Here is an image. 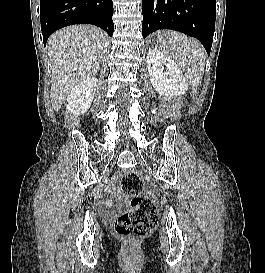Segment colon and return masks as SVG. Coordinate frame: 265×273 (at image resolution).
Segmentation results:
<instances>
[{
  "label": "colon",
  "mask_w": 265,
  "mask_h": 273,
  "mask_svg": "<svg viewBox=\"0 0 265 273\" xmlns=\"http://www.w3.org/2000/svg\"><path fill=\"white\" fill-rule=\"evenodd\" d=\"M121 188L131 199V209L116 220L114 232L125 239H140L150 235L158 225L159 211L151 199L141 196L143 181L140 173L126 172L121 179Z\"/></svg>",
  "instance_id": "1"
}]
</instances>
